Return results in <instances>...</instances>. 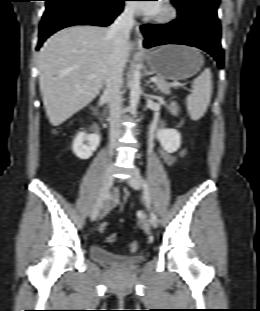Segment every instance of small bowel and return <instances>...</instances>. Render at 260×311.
<instances>
[{"label":"small bowel","mask_w":260,"mask_h":311,"mask_svg":"<svg viewBox=\"0 0 260 311\" xmlns=\"http://www.w3.org/2000/svg\"><path fill=\"white\" fill-rule=\"evenodd\" d=\"M169 112L170 114L176 116L178 113L177 105L174 102L169 104ZM160 157L165 162V164L171 166L173 165L179 158L183 157L185 154V150L182 149L178 153H172L167 151L166 149H160ZM119 202V192L117 189H114L110 194L106 201L105 211H108L118 205Z\"/></svg>","instance_id":"c3829d8e"}]
</instances>
